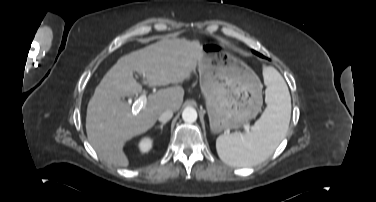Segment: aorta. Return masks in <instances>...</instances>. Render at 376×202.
<instances>
[{"mask_svg": "<svg viewBox=\"0 0 376 202\" xmlns=\"http://www.w3.org/2000/svg\"><path fill=\"white\" fill-rule=\"evenodd\" d=\"M182 119L185 122L193 123L197 120V111L193 107H186L182 112Z\"/></svg>", "mask_w": 376, "mask_h": 202, "instance_id": "762f6f07", "label": "aorta"}]
</instances>
